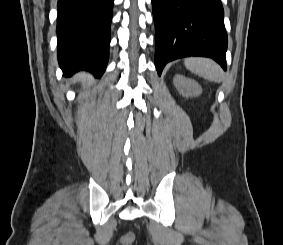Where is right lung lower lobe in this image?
I'll use <instances>...</instances> for the list:
<instances>
[{
  "mask_svg": "<svg viewBox=\"0 0 283 245\" xmlns=\"http://www.w3.org/2000/svg\"><path fill=\"white\" fill-rule=\"evenodd\" d=\"M114 0H58V61L63 75L103 74L109 55Z\"/></svg>",
  "mask_w": 283,
  "mask_h": 245,
  "instance_id": "right-lung-lower-lobe-1",
  "label": "right lung lower lobe"
}]
</instances>
